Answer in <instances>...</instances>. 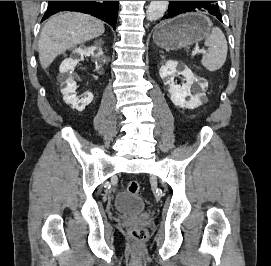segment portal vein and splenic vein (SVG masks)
Masks as SVG:
<instances>
[{"label": "portal vein and splenic vein", "instance_id": "18ae733b", "mask_svg": "<svg viewBox=\"0 0 271 266\" xmlns=\"http://www.w3.org/2000/svg\"><path fill=\"white\" fill-rule=\"evenodd\" d=\"M198 53H204V54H206L207 51L201 50V49L199 48V46H196L195 49H194V51H193V53H192V56H195V55L198 54Z\"/></svg>", "mask_w": 271, "mask_h": 266}]
</instances>
